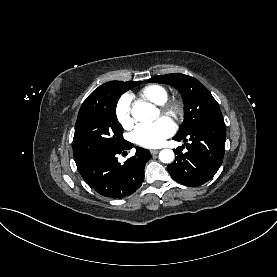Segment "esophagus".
<instances>
[{
	"label": "esophagus",
	"instance_id": "34e87169",
	"mask_svg": "<svg viewBox=\"0 0 277 277\" xmlns=\"http://www.w3.org/2000/svg\"><path fill=\"white\" fill-rule=\"evenodd\" d=\"M150 152H151L152 155H155L159 152V150L154 149V150H150Z\"/></svg>",
	"mask_w": 277,
	"mask_h": 277
}]
</instances>
